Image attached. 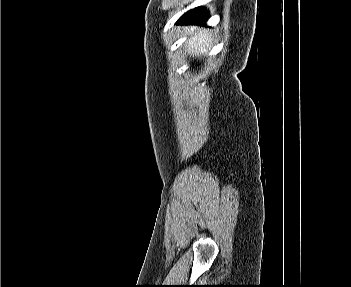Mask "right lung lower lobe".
<instances>
[{
	"label": "right lung lower lobe",
	"instance_id": "right-lung-lower-lobe-1",
	"mask_svg": "<svg viewBox=\"0 0 351 287\" xmlns=\"http://www.w3.org/2000/svg\"><path fill=\"white\" fill-rule=\"evenodd\" d=\"M208 19V14L204 8H195L186 12L178 21L177 24H205Z\"/></svg>",
	"mask_w": 351,
	"mask_h": 287
}]
</instances>
